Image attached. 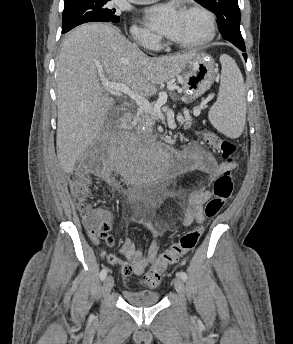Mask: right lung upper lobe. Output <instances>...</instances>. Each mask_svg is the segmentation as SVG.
I'll return each instance as SVG.
<instances>
[{
	"label": "right lung upper lobe",
	"instance_id": "obj_1",
	"mask_svg": "<svg viewBox=\"0 0 293 344\" xmlns=\"http://www.w3.org/2000/svg\"><path fill=\"white\" fill-rule=\"evenodd\" d=\"M73 1H77V0H64L65 3H69V2H73Z\"/></svg>",
	"mask_w": 293,
	"mask_h": 344
}]
</instances>
